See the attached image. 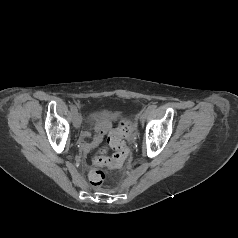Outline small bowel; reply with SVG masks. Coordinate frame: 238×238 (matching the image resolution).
<instances>
[{
	"label": "small bowel",
	"mask_w": 238,
	"mask_h": 238,
	"mask_svg": "<svg viewBox=\"0 0 238 238\" xmlns=\"http://www.w3.org/2000/svg\"><path fill=\"white\" fill-rule=\"evenodd\" d=\"M90 124L93 126L95 133L91 135L88 130L82 132L80 147L84 151H90L99 146L111 130V122L106 115L94 114L90 119ZM87 138H91V140L86 141Z\"/></svg>",
	"instance_id": "c3829d8e"
}]
</instances>
